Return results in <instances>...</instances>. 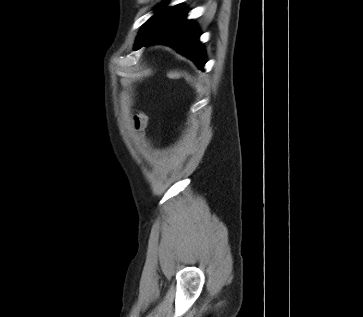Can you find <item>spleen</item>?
I'll list each match as a JSON object with an SVG mask.
<instances>
[{
	"instance_id": "spleen-1",
	"label": "spleen",
	"mask_w": 363,
	"mask_h": 317,
	"mask_svg": "<svg viewBox=\"0 0 363 317\" xmlns=\"http://www.w3.org/2000/svg\"><path fill=\"white\" fill-rule=\"evenodd\" d=\"M170 77L172 78H179L180 77V74L179 73H175V74H170ZM186 80H190V78L186 75Z\"/></svg>"
}]
</instances>
